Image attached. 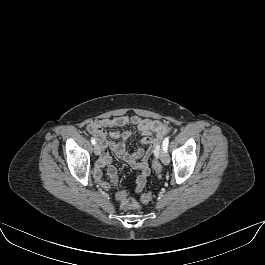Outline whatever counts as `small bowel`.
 <instances>
[{
  "instance_id": "c3829d8e",
  "label": "small bowel",
  "mask_w": 265,
  "mask_h": 265,
  "mask_svg": "<svg viewBox=\"0 0 265 265\" xmlns=\"http://www.w3.org/2000/svg\"><path fill=\"white\" fill-rule=\"evenodd\" d=\"M129 125L135 126L141 132V143L146 146L145 149H137L132 154L126 151V144L133 138V133L131 131L120 132L116 130V128ZM106 128L113 129L109 132V136L113 140H108ZM87 131L103 147L102 155L95 170V177L99 186L104 190H108L110 187L109 183L102 179V169L104 167H107L112 182H117V170L111 163V158L107 151V148H109L120 160L127 163L133 169L140 171L136 179L135 189L137 193H140L146 185L147 177L151 173L149 159L152 156L158 155L160 142L169 133L170 127L167 123L156 119L121 115L94 120L88 124Z\"/></svg>"
}]
</instances>
